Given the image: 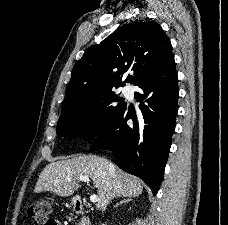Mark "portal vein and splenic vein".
<instances>
[{
    "label": "portal vein and splenic vein",
    "mask_w": 228,
    "mask_h": 225,
    "mask_svg": "<svg viewBox=\"0 0 228 225\" xmlns=\"http://www.w3.org/2000/svg\"><path fill=\"white\" fill-rule=\"evenodd\" d=\"M78 179H79V181H82V183H89L88 177H78ZM87 188L91 189L92 185L88 184ZM90 201H91V203H97V201H98V197H97V195H95L94 191L90 192Z\"/></svg>",
    "instance_id": "18ae733b"
}]
</instances>
